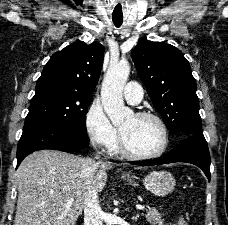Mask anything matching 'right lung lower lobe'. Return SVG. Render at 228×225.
<instances>
[{
    "label": "right lung lower lobe",
    "mask_w": 228,
    "mask_h": 225,
    "mask_svg": "<svg viewBox=\"0 0 228 225\" xmlns=\"http://www.w3.org/2000/svg\"><path fill=\"white\" fill-rule=\"evenodd\" d=\"M88 145L87 134L76 128L54 122L26 124L17 147V167L28 154L37 150L53 149L73 153Z\"/></svg>",
    "instance_id": "right-lung-lower-lobe-1"
}]
</instances>
